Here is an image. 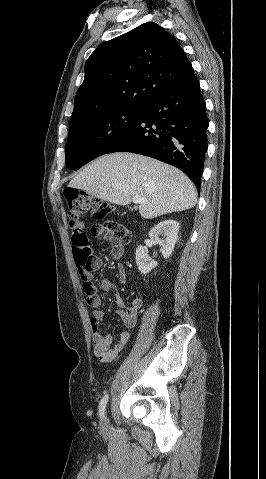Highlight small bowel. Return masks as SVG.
I'll list each match as a JSON object with an SVG mask.
<instances>
[{
	"instance_id": "1",
	"label": "small bowel",
	"mask_w": 266,
	"mask_h": 479,
	"mask_svg": "<svg viewBox=\"0 0 266 479\" xmlns=\"http://www.w3.org/2000/svg\"><path fill=\"white\" fill-rule=\"evenodd\" d=\"M114 246L121 245L119 243H112L111 249ZM122 252L123 250L118 256H120ZM91 264L93 270H98L103 265V259L99 255H94L92 257ZM117 272L119 280L121 282H125L126 272L122 264L117 265ZM103 287L106 291L113 293L114 302L118 306L116 314L122 320L124 325L129 329L136 328L138 323V314L142 307V300L140 298H134L129 306H125L122 296L119 293L113 291V288L108 281H103ZM100 305L101 298L98 296L97 303L93 306L95 307V309L90 318V327L92 330L94 343L93 353L100 362L109 363L114 360L125 348L130 339V334L128 332H122L119 336L118 341L114 345H112V334L108 332H100L101 323L105 318V312L99 308Z\"/></svg>"
}]
</instances>
